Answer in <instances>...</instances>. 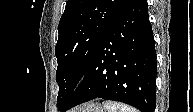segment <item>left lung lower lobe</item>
I'll return each mask as SVG.
<instances>
[{"mask_svg": "<svg viewBox=\"0 0 193 112\" xmlns=\"http://www.w3.org/2000/svg\"><path fill=\"white\" fill-rule=\"evenodd\" d=\"M156 67L147 0H132L100 40L84 79L60 110L102 98L154 112Z\"/></svg>", "mask_w": 193, "mask_h": 112, "instance_id": "obj_1", "label": "left lung lower lobe"}]
</instances>
